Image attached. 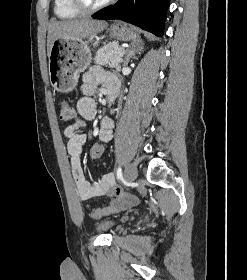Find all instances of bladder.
<instances>
[{"label": "bladder", "mask_w": 247, "mask_h": 280, "mask_svg": "<svg viewBox=\"0 0 247 280\" xmlns=\"http://www.w3.org/2000/svg\"><path fill=\"white\" fill-rule=\"evenodd\" d=\"M116 227V222L113 220H104L96 224L95 228L100 232H110Z\"/></svg>", "instance_id": "obj_1"}]
</instances>
